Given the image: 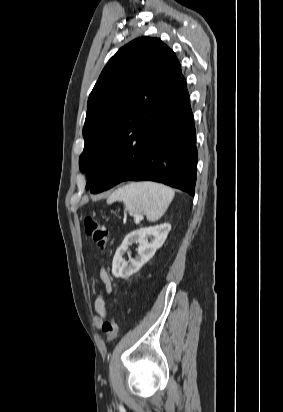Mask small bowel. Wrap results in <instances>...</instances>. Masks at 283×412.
<instances>
[{
	"mask_svg": "<svg viewBox=\"0 0 283 412\" xmlns=\"http://www.w3.org/2000/svg\"><path fill=\"white\" fill-rule=\"evenodd\" d=\"M100 277L102 279V281L105 283L106 288L108 291L111 290V285H110V278L108 276V274L106 273V271L101 270L100 271ZM94 309L95 312L97 314V316L95 317V324L97 325L98 328H100L102 326L103 323V317L105 314V303L102 299H96L94 302Z\"/></svg>",
	"mask_w": 283,
	"mask_h": 412,
	"instance_id": "small-bowel-1",
	"label": "small bowel"
}]
</instances>
